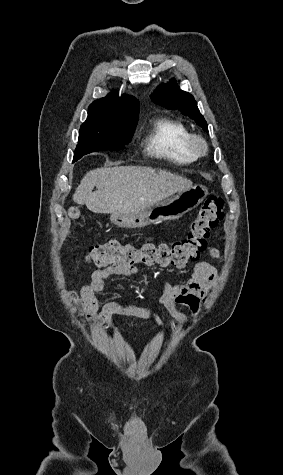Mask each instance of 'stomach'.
Masks as SVG:
<instances>
[{
	"label": "stomach",
	"instance_id": "1",
	"mask_svg": "<svg viewBox=\"0 0 283 475\" xmlns=\"http://www.w3.org/2000/svg\"><path fill=\"white\" fill-rule=\"evenodd\" d=\"M208 194L205 186H192L189 190L179 192L177 196L158 202L154 206L144 208L140 212H128V214H111L110 222L118 228H144L149 224L164 222V220H178L186 212L197 208Z\"/></svg>",
	"mask_w": 283,
	"mask_h": 475
}]
</instances>
